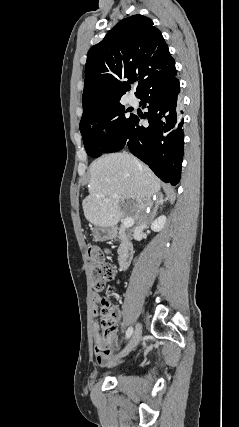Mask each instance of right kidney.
Returning a JSON list of instances; mask_svg holds the SVG:
<instances>
[{"label": "right kidney", "instance_id": "right-kidney-1", "mask_svg": "<svg viewBox=\"0 0 239 427\" xmlns=\"http://www.w3.org/2000/svg\"><path fill=\"white\" fill-rule=\"evenodd\" d=\"M165 223H166V216L161 215L151 224V229L155 232H159L163 229Z\"/></svg>", "mask_w": 239, "mask_h": 427}]
</instances>
